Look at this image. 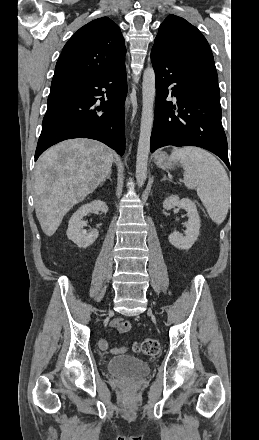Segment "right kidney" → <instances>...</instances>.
Segmentation results:
<instances>
[{
  "mask_svg": "<svg viewBox=\"0 0 259 440\" xmlns=\"http://www.w3.org/2000/svg\"><path fill=\"white\" fill-rule=\"evenodd\" d=\"M92 211L108 212V206L101 200H95L81 206L70 218L67 229V237L80 248H87L98 238L99 232L94 229L91 232L83 230L85 222L83 218Z\"/></svg>",
  "mask_w": 259,
  "mask_h": 440,
  "instance_id": "1",
  "label": "right kidney"
}]
</instances>
